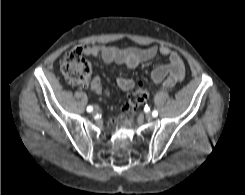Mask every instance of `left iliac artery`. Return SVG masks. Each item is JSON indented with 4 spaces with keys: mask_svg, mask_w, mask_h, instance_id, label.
<instances>
[{
    "mask_svg": "<svg viewBox=\"0 0 245 195\" xmlns=\"http://www.w3.org/2000/svg\"><path fill=\"white\" fill-rule=\"evenodd\" d=\"M152 115H153V117H157V116H158V112H157L156 110H154V111L152 112Z\"/></svg>",
    "mask_w": 245,
    "mask_h": 195,
    "instance_id": "obj_1",
    "label": "left iliac artery"
}]
</instances>
